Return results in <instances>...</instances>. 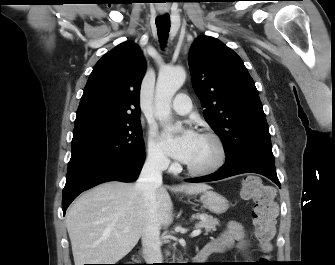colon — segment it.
Segmentation results:
<instances>
[{"label": "colon", "instance_id": "1", "mask_svg": "<svg viewBox=\"0 0 335 265\" xmlns=\"http://www.w3.org/2000/svg\"><path fill=\"white\" fill-rule=\"evenodd\" d=\"M241 197L244 200H252L254 202L253 224L255 236L262 251L265 253L270 252L278 215L274 189L263 184L259 177L248 176L243 181ZM134 261H138V258H135ZM260 263L266 265L268 262L263 258Z\"/></svg>", "mask_w": 335, "mask_h": 265}]
</instances>
